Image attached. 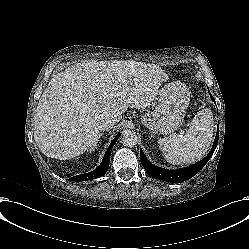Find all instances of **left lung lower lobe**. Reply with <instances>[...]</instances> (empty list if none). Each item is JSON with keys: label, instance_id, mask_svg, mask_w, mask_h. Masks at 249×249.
Instances as JSON below:
<instances>
[{"label": "left lung lower lobe", "instance_id": "1", "mask_svg": "<svg viewBox=\"0 0 249 249\" xmlns=\"http://www.w3.org/2000/svg\"><path fill=\"white\" fill-rule=\"evenodd\" d=\"M210 96H211V94H210ZM211 98L215 102V100L213 99L212 96H211ZM218 136H219V128L217 129L216 138L214 140L213 147H212L211 151L209 152V154L204 159L199 161L198 163H196L190 167L184 168V169L167 170V169H163V168L154 166L153 164H151L147 160L142 149H140V160H141V163H142L144 169L146 170V172L149 175H151L152 177H154L156 179L168 181L170 183L183 182L184 180L189 179V178L193 177L195 174H197L204 167V165L209 161V159L211 158V156L213 155V153L217 147Z\"/></svg>", "mask_w": 249, "mask_h": 249}]
</instances>
